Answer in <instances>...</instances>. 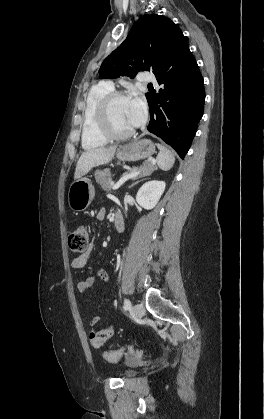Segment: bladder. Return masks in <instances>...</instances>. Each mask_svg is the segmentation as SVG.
Returning a JSON list of instances; mask_svg holds the SVG:
<instances>
[{
  "mask_svg": "<svg viewBox=\"0 0 264 419\" xmlns=\"http://www.w3.org/2000/svg\"><path fill=\"white\" fill-rule=\"evenodd\" d=\"M137 374V370L135 368H128L121 373L123 378H130Z\"/></svg>",
  "mask_w": 264,
  "mask_h": 419,
  "instance_id": "obj_1",
  "label": "bladder"
}]
</instances>
